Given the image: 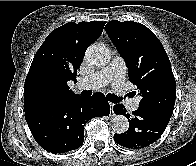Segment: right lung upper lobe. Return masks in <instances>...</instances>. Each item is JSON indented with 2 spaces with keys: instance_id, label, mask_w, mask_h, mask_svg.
I'll return each mask as SVG.
<instances>
[{
  "instance_id": "obj_1",
  "label": "right lung upper lobe",
  "mask_w": 196,
  "mask_h": 166,
  "mask_svg": "<svg viewBox=\"0 0 196 166\" xmlns=\"http://www.w3.org/2000/svg\"><path fill=\"white\" fill-rule=\"evenodd\" d=\"M106 22H68L53 30L36 52L24 86L25 113L76 96L67 82L76 81L87 47L100 37Z\"/></svg>"
}]
</instances>
